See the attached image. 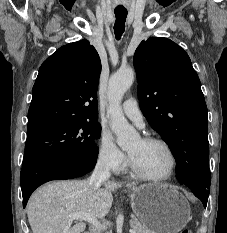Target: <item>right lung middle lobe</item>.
I'll return each instance as SVG.
<instances>
[{"mask_svg":"<svg viewBox=\"0 0 227 233\" xmlns=\"http://www.w3.org/2000/svg\"><path fill=\"white\" fill-rule=\"evenodd\" d=\"M101 134L97 120H78L28 134L22 167L49 157L66 156L82 160L95 158V139Z\"/></svg>","mask_w":227,"mask_h":233,"instance_id":"dd1d6c3e","label":"right lung middle lobe"}]
</instances>
